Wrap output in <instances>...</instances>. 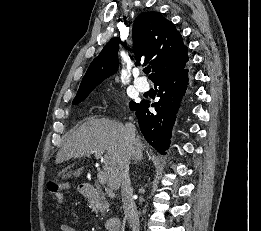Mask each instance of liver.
Returning <instances> with one entry per match:
<instances>
[{
    "mask_svg": "<svg viewBox=\"0 0 261 231\" xmlns=\"http://www.w3.org/2000/svg\"><path fill=\"white\" fill-rule=\"evenodd\" d=\"M125 132L122 123L105 118L90 119L68 136L55 162L58 164L95 151H106L103 158L104 173L108 186L117 190L122 183V173L132 158ZM134 146L138 147L141 153L145 148L139 138L135 139ZM82 171L83 167L75 172L64 173L62 178H69L72 174L79 177Z\"/></svg>",
    "mask_w": 261,
    "mask_h": 231,
    "instance_id": "obj_1",
    "label": "liver"
}]
</instances>
